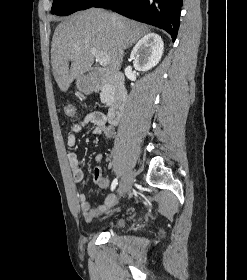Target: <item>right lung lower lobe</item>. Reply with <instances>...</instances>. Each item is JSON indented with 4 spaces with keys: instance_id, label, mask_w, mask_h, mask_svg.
Wrapping results in <instances>:
<instances>
[{
    "instance_id": "obj_1",
    "label": "right lung lower lobe",
    "mask_w": 247,
    "mask_h": 280,
    "mask_svg": "<svg viewBox=\"0 0 247 280\" xmlns=\"http://www.w3.org/2000/svg\"><path fill=\"white\" fill-rule=\"evenodd\" d=\"M182 0H101L93 7L110 8L129 18L166 30L175 41Z\"/></svg>"
}]
</instances>
